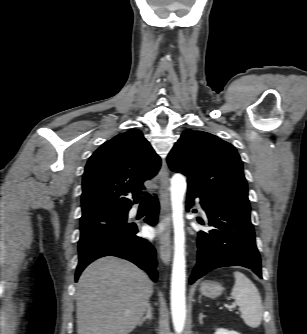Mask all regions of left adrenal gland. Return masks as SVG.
Segmentation results:
<instances>
[{
  "label": "left adrenal gland",
  "instance_id": "1",
  "mask_svg": "<svg viewBox=\"0 0 307 334\" xmlns=\"http://www.w3.org/2000/svg\"><path fill=\"white\" fill-rule=\"evenodd\" d=\"M205 317V315L203 313L199 314V323L202 324L203 323V318Z\"/></svg>",
  "mask_w": 307,
  "mask_h": 334
}]
</instances>
